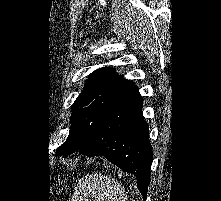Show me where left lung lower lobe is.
<instances>
[{
	"instance_id": "left-lung-lower-lobe-1",
	"label": "left lung lower lobe",
	"mask_w": 221,
	"mask_h": 201,
	"mask_svg": "<svg viewBox=\"0 0 221 201\" xmlns=\"http://www.w3.org/2000/svg\"><path fill=\"white\" fill-rule=\"evenodd\" d=\"M148 136L149 127L142 116V98L137 90L107 113L78 152L89 157L104 156L133 174L146 201L153 161Z\"/></svg>"
}]
</instances>
